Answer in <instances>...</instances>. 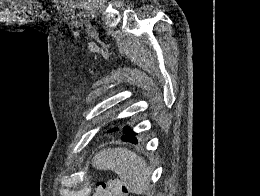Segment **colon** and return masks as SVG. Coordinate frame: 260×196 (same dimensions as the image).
<instances>
[{
    "label": "colon",
    "instance_id": "colon-1",
    "mask_svg": "<svg viewBox=\"0 0 260 196\" xmlns=\"http://www.w3.org/2000/svg\"><path fill=\"white\" fill-rule=\"evenodd\" d=\"M113 196L115 195L113 192H110Z\"/></svg>",
    "mask_w": 260,
    "mask_h": 196
}]
</instances>
